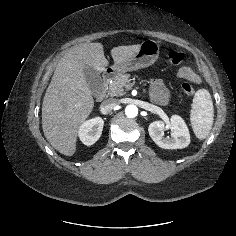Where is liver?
Instances as JSON below:
<instances>
[{
  "instance_id": "obj_1",
  "label": "liver",
  "mask_w": 236,
  "mask_h": 236,
  "mask_svg": "<svg viewBox=\"0 0 236 236\" xmlns=\"http://www.w3.org/2000/svg\"><path fill=\"white\" fill-rule=\"evenodd\" d=\"M140 44L111 49L115 63L133 56ZM109 65L101 43H82L71 47L59 60L42 103V128L48 142L66 156L76 151L80 126L94 107L84 67L103 72Z\"/></svg>"
}]
</instances>
